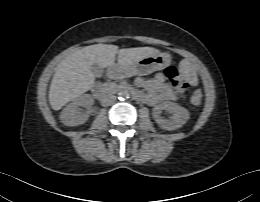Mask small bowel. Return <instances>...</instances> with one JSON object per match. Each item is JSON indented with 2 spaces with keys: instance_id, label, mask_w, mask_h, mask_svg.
<instances>
[{
  "instance_id": "1",
  "label": "small bowel",
  "mask_w": 260,
  "mask_h": 202,
  "mask_svg": "<svg viewBox=\"0 0 260 202\" xmlns=\"http://www.w3.org/2000/svg\"><path fill=\"white\" fill-rule=\"evenodd\" d=\"M136 84L147 91L146 95L138 92L136 98L146 102L149 105H155L164 101L176 99L175 93L165 82V77L162 73L156 74L152 79L138 77L136 79Z\"/></svg>"
}]
</instances>
